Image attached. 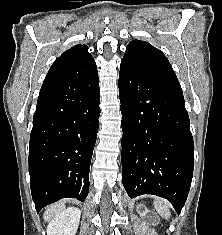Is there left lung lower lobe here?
Wrapping results in <instances>:
<instances>
[{
  "label": "left lung lower lobe",
  "instance_id": "left-lung-lower-lobe-1",
  "mask_svg": "<svg viewBox=\"0 0 222 235\" xmlns=\"http://www.w3.org/2000/svg\"><path fill=\"white\" fill-rule=\"evenodd\" d=\"M122 178L129 197L168 199L179 214L193 177L194 144L181 86L120 65Z\"/></svg>",
  "mask_w": 222,
  "mask_h": 235
}]
</instances>
